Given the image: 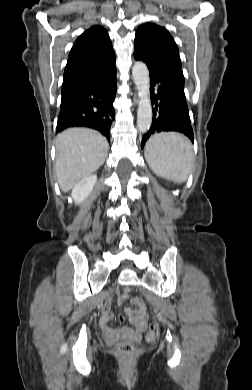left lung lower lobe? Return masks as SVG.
Wrapping results in <instances>:
<instances>
[{
	"instance_id": "left-lung-lower-lobe-1",
	"label": "left lung lower lobe",
	"mask_w": 252,
	"mask_h": 390,
	"mask_svg": "<svg viewBox=\"0 0 252 390\" xmlns=\"http://www.w3.org/2000/svg\"><path fill=\"white\" fill-rule=\"evenodd\" d=\"M134 58L148 66L151 104L154 106L152 124L143 136L141 148L152 135L164 131L184 133L194 142L184 93V77L156 61L146 59L138 50H134Z\"/></svg>"
}]
</instances>
